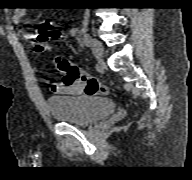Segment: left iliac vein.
I'll use <instances>...</instances> for the list:
<instances>
[{"mask_svg":"<svg viewBox=\"0 0 192 180\" xmlns=\"http://www.w3.org/2000/svg\"><path fill=\"white\" fill-rule=\"evenodd\" d=\"M90 46H91L94 56L98 60H101L103 57V51H104L103 44L98 39L93 38V39H91Z\"/></svg>","mask_w":192,"mask_h":180,"instance_id":"1","label":"left iliac vein"}]
</instances>
